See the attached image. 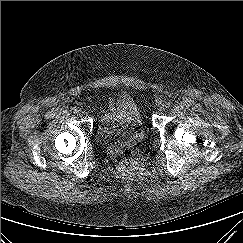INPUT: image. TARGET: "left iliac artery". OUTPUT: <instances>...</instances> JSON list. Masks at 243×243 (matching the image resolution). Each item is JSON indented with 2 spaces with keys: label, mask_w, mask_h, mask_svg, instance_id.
I'll list each match as a JSON object with an SVG mask.
<instances>
[{
  "label": "left iliac artery",
  "mask_w": 243,
  "mask_h": 243,
  "mask_svg": "<svg viewBox=\"0 0 243 243\" xmlns=\"http://www.w3.org/2000/svg\"><path fill=\"white\" fill-rule=\"evenodd\" d=\"M171 105L170 102H166V107H169Z\"/></svg>",
  "instance_id": "44dca946"
}]
</instances>
